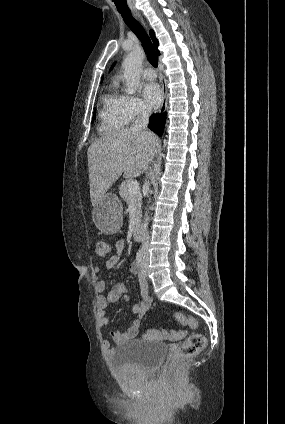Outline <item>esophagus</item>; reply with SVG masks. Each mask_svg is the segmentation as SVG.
Returning a JSON list of instances; mask_svg holds the SVG:
<instances>
[{
	"instance_id": "1",
	"label": "esophagus",
	"mask_w": 285,
	"mask_h": 424,
	"mask_svg": "<svg viewBox=\"0 0 285 424\" xmlns=\"http://www.w3.org/2000/svg\"><path fill=\"white\" fill-rule=\"evenodd\" d=\"M136 15L140 18L142 24L146 27V23L143 20V18L141 17V15L139 13H136ZM167 100H168V93H167V89L166 86L163 85L162 87V103L158 109V114H162L165 112L166 108H167Z\"/></svg>"
}]
</instances>
